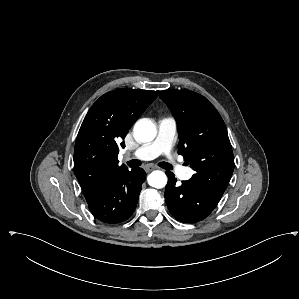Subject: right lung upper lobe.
<instances>
[{
  "label": "right lung upper lobe",
  "instance_id": "cb5924a9",
  "mask_svg": "<svg viewBox=\"0 0 299 299\" xmlns=\"http://www.w3.org/2000/svg\"><path fill=\"white\" fill-rule=\"evenodd\" d=\"M159 91L117 89L102 95L88 111L74 149V172L86 200L127 167L118 165L129 129Z\"/></svg>",
  "mask_w": 299,
  "mask_h": 299
}]
</instances>
